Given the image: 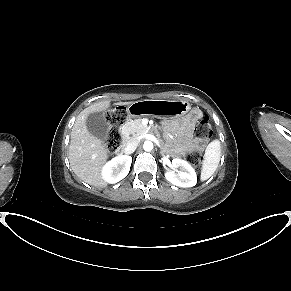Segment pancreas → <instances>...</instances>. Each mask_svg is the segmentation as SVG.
Returning a JSON list of instances; mask_svg holds the SVG:
<instances>
[{"label": "pancreas", "mask_w": 291, "mask_h": 291, "mask_svg": "<svg viewBox=\"0 0 291 291\" xmlns=\"http://www.w3.org/2000/svg\"><path fill=\"white\" fill-rule=\"evenodd\" d=\"M149 128L142 124V119L138 118L135 120H129L127 121L124 126L122 127V132L125 134H133L134 136H139L146 131H148ZM127 138V136H125Z\"/></svg>", "instance_id": "1"}]
</instances>
